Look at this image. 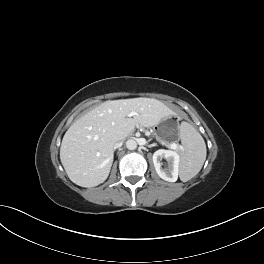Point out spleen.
<instances>
[{
  "mask_svg": "<svg viewBox=\"0 0 264 264\" xmlns=\"http://www.w3.org/2000/svg\"><path fill=\"white\" fill-rule=\"evenodd\" d=\"M179 137L184 151L181 152L180 179L186 182L195 177L206 160V144L200 133L188 122H181Z\"/></svg>",
  "mask_w": 264,
  "mask_h": 264,
  "instance_id": "spleen-1",
  "label": "spleen"
}]
</instances>
